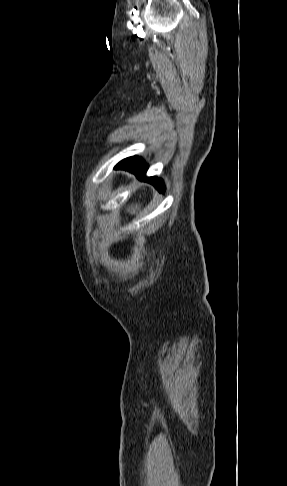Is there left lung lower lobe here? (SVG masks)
Masks as SVG:
<instances>
[{"mask_svg":"<svg viewBox=\"0 0 287 486\" xmlns=\"http://www.w3.org/2000/svg\"><path fill=\"white\" fill-rule=\"evenodd\" d=\"M115 169H124L131 173H134L138 178L145 180L152 185L159 191L164 192L165 186L161 179L157 177H146L145 173L148 169L147 164L144 162L142 158L139 157H130L120 161L116 166Z\"/></svg>","mask_w":287,"mask_h":486,"instance_id":"left-lung-lower-lobe-1","label":"left lung lower lobe"}]
</instances>
